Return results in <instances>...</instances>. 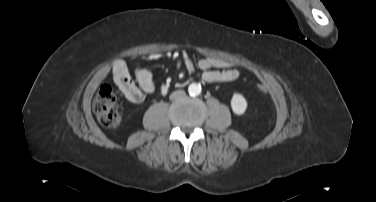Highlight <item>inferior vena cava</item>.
<instances>
[{
  "label": "inferior vena cava",
  "instance_id": "obj_1",
  "mask_svg": "<svg viewBox=\"0 0 376 202\" xmlns=\"http://www.w3.org/2000/svg\"><path fill=\"white\" fill-rule=\"evenodd\" d=\"M185 95V92L183 90H179V91H176V92H173L171 95H170V99H177V98H181Z\"/></svg>",
  "mask_w": 376,
  "mask_h": 202
}]
</instances>
